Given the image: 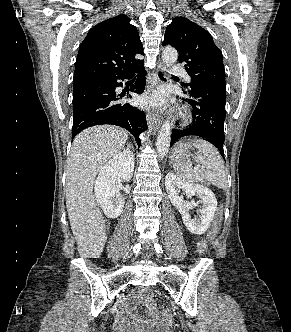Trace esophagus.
<instances>
[{
  "instance_id": "obj_1",
  "label": "esophagus",
  "mask_w": 291,
  "mask_h": 332,
  "mask_svg": "<svg viewBox=\"0 0 291 332\" xmlns=\"http://www.w3.org/2000/svg\"><path fill=\"white\" fill-rule=\"evenodd\" d=\"M166 81V72H165V67L163 65L162 62L158 63L157 69H156V79L154 82L153 86L162 84ZM148 125H149V129L153 132H155L160 125V117L157 113L151 112L148 115Z\"/></svg>"
}]
</instances>
